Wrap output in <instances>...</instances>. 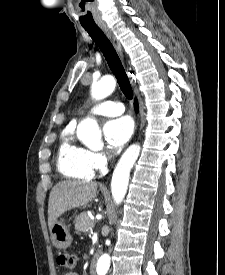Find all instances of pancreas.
I'll return each instance as SVG.
<instances>
[{
  "label": "pancreas",
  "mask_w": 225,
  "mask_h": 275,
  "mask_svg": "<svg viewBox=\"0 0 225 275\" xmlns=\"http://www.w3.org/2000/svg\"><path fill=\"white\" fill-rule=\"evenodd\" d=\"M94 227V221L86 212H82L75 220V229L80 232H88Z\"/></svg>",
  "instance_id": "obj_1"
}]
</instances>
